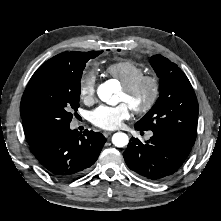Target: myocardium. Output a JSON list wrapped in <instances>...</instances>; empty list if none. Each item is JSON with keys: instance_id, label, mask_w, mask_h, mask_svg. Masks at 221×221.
<instances>
[{"instance_id": "1", "label": "myocardium", "mask_w": 221, "mask_h": 221, "mask_svg": "<svg viewBox=\"0 0 221 221\" xmlns=\"http://www.w3.org/2000/svg\"><path fill=\"white\" fill-rule=\"evenodd\" d=\"M122 89L130 96H134L144 89L148 91V97L144 103L131 107L138 114H146L157 104L161 93V84L155 75L144 74L134 81L122 85Z\"/></svg>"}]
</instances>
